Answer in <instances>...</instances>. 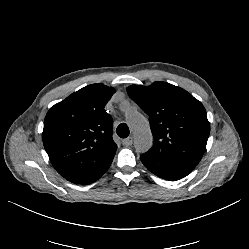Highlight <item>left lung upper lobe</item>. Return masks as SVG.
I'll list each match as a JSON object with an SVG mask.
<instances>
[{"label":"left lung upper lobe","instance_id":"5c2ea615","mask_svg":"<svg viewBox=\"0 0 249 249\" xmlns=\"http://www.w3.org/2000/svg\"><path fill=\"white\" fill-rule=\"evenodd\" d=\"M127 92L149 115L154 144L146 154L196 166L210 133L202 103L184 89L162 81L131 85Z\"/></svg>","mask_w":249,"mask_h":249}]
</instances>
